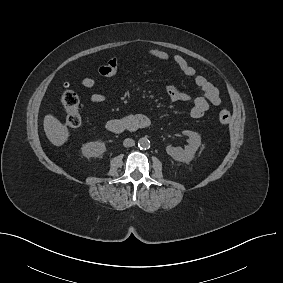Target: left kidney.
<instances>
[{
  "mask_svg": "<svg viewBox=\"0 0 283 283\" xmlns=\"http://www.w3.org/2000/svg\"><path fill=\"white\" fill-rule=\"evenodd\" d=\"M183 134L189 137V144L185 146L184 149L182 148H175L171 145L166 147V152L170 155L174 160L179 162H190L196 151L201 145V137L196 132L185 130Z\"/></svg>",
  "mask_w": 283,
  "mask_h": 283,
  "instance_id": "obj_1",
  "label": "left kidney"
}]
</instances>
